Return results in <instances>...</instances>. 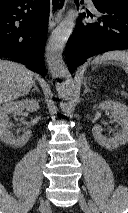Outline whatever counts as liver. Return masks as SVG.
I'll use <instances>...</instances> for the list:
<instances>
[{"instance_id": "6515ba94", "label": "liver", "mask_w": 128, "mask_h": 213, "mask_svg": "<svg viewBox=\"0 0 128 213\" xmlns=\"http://www.w3.org/2000/svg\"><path fill=\"white\" fill-rule=\"evenodd\" d=\"M34 82L24 65L0 60V104L28 94Z\"/></svg>"}]
</instances>
